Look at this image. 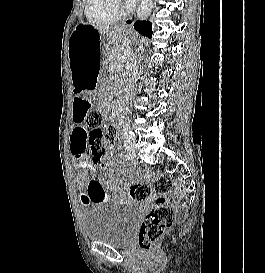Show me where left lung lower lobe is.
Instances as JSON below:
<instances>
[{
    "label": "left lung lower lobe",
    "instance_id": "1",
    "mask_svg": "<svg viewBox=\"0 0 265 273\" xmlns=\"http://www.w3.org/2000/svg\"><path fill=\"white\" fill-rule=\"evenodd\" d=\"M152 24L148 21H136L134 23V29L138 31L141 35L148 38L152 37Z\"/></svg>",
    "mask_w": 265,
    "mask_h": 273
}]
</instances>
